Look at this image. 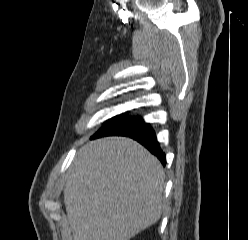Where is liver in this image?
I'll return each mask as SVG.
<instances>
[{"mask_svg":"<svg viewBox=\"0 0 248 240\" xmlns=\"http://www.w3.org/2000/svg\"><path fill=\"white\" fill-rule=\"evenodd\" d=\"M164 179L159 160L132 139L84 145L64 188L73 240H130L155 224L164 206Z\"/></svg>","mask_w":248,"mask_h":240,"instance_id":"obj_1","label":"liver"}]
</instances>
